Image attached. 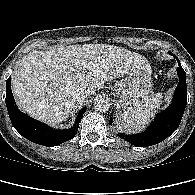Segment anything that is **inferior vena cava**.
Returning <instances> with one entry per match:
<instances>
[{"label": "inferior vena cava", "instance_id": "inferior-vena-cava-1", "mask_svg": "<svg viewBox=\"0 0 195 195\" xmlns=\"http://www.w3.org/2000/svg\"><path fill=\"white\" fill-rule=\"evenodd\" d=\"M90 95V91L85 87L77 88L73 91V96L77 101H81Z\"/></svg>", "mask_w": 195, "mask_h": 195}]
</instances>
